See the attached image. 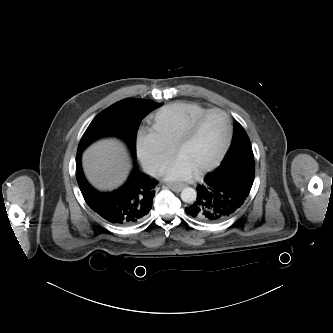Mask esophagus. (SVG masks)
<instances>
[{
    "instance_id": "1",
    "label": "esophagus",
    "mask_w": 333,
    "mask_h": 333,
    "mask_svg": "<svg viewBox=\"0 0 333 333\" xmlns=\"http://www.w3.org/2000/svg\"><path fill=\"white\" fill-rule=\"evenodd\" d=\"M167 186L174 192H180L186 185L185 184H168Z\"/></svg>"
}]
</instances>
